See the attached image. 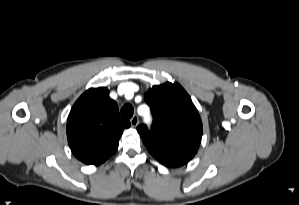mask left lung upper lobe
Masks as SVG:
<instances>
[{
    "label": "left lung upper lobe",
    "instance_id": "obj_1",
    "mask_svg": "<svg viewBox=\"0 0 299 205\" xmlns=\"http://www.w3.org/2000/svg\"><path fill=\"white\" fill-rule=\"evenodd\" d=\"M151 108L153 123L150 128L137 127L146 146L184 144L199 147L202 121L187 92L178 83L167 82L153 86L145 93Z\"/></svg>",
    "mask_w": 299,
    "mask_h": 205
}]
</instances>
